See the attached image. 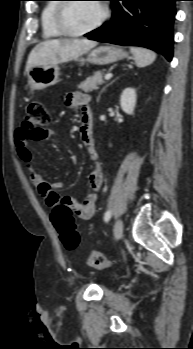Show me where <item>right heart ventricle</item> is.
<instances>
[{
    "instance_id": "e07e8e85",
    "label": "right heart ventricle",
    "mask_w": 193,
    "mask_h": 349,
    "mask_svg": "<svg viewBox=\"0 0 193 349\" xmlns=\"http://www.w3.org/2000/svg\"><path fill=\"white\" fill-rule=\"evenodd\" d=\"M55 1L58 0H49L41 11L40 24L42 37L44 39H56L62 36L61 33L55 28L53 22L54 11L57 6Z\"/></svg>"
}]
</instances>
